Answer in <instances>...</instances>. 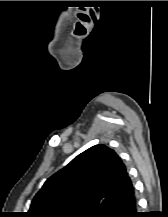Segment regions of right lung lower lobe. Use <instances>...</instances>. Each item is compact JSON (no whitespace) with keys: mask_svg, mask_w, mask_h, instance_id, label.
<instances>
[{"mask_svg":"<svg viewBox=\"0 0 168 217\" xmlns=\"http://www.w3.org/2000/svg\"><path fill=\"white\" fill-rule=\"evenodd\" d=\"M140 212H137V199L135 194L130 198L112 206L99 217H142Z\"/></svg>","mask_w":168,"mask_h":217,"instance_id":"1","label":"right lung lower lobe"}]
</instances>
